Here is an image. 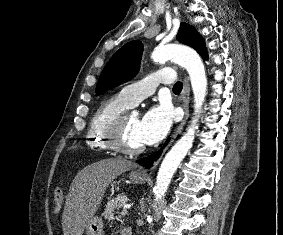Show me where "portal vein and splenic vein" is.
<instances>
[{
  "mask_svg": "<svg viewBox=\"0 0 283 235\" xmlns=\"http://www.w3.org/2000/svg\"><path fill=\"white\" fill-rule=\"evenodd\" d=\"M130 206H128V205H126V206H124V208H123V210L120 212V215H122V216H124V215H126L127 213H128V208H129Z\"/></svg>",
  "mask_w": 283,
  "mask_h": 235,
  "instance_id": "1",
  "label": "portal vein and splenic vein"
}]
</instances>
